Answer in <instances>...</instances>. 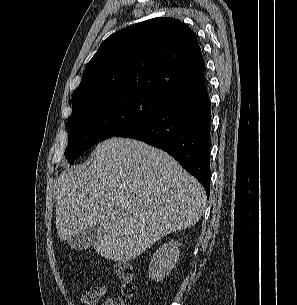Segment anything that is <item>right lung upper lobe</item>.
Returning <instances> with one entry per match:
<instances>
[{
	"mask_svg": "<svg viewBox=\"0 0 297 305\" xmlns=\"http://www.w3.org/2000/svg\"><path fill=\"white\" fill-rule=\"evenodd\" d=\"M205 63L194 32L180 20L159 17L108 37L86 65L72 96V111L124 93L170 97L205 85Z\"/></svg>",
	"mask_w": 297,
	"mask_h": 305,
	"instance_id": "right-lung-upper-lobe-1",
	"label": "right lung upper lobe"
}]
</instances>
